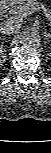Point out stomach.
Listing matches in <instances>:
<instances>
[{
  "label": "stomach",
  "instance_id": "1",
  "mask_svg": "<svg viewBox=\"0 0 51 153\" xmlns=\"http://www.w3.org/2000/svg\"><path fill=\"white\" fill-rule=\"evenodd\" d=\"M10 2H15V3H22L24 2L25 0H9Z\"/></svg>",
  "mask_w": 51,
  "mask_h": 153
}]
</instances>
